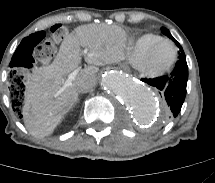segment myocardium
<instances>
[{
    "label": "myocardium",
    "instance_id": "myocardium-1",
    "mask_svg": "<svg viewBox=\"0 0 215 183\" xmlns=\"http://www.w3.org/2000/svg\"><path fill=\"white\" fill-rule=\"evenodd\" d=\"M162 43H167L171 46V49H172L171 58L168 62H166L163 65L152 66L150 64V56L153 53V51ZM177 57H178V51H177L175 44L169 39L162 38V39L158 40L157 42H155L152 46H150L140 56V58L138 59V61L136 63V67L139 70V72L141 73V75L144 76L145 78L151 79V80L158 79V78L165 76L173 69V67L176 64Z\"/></svg>",
    "mask_w": 215,
    "mask_h": 183
}]
</instances>
